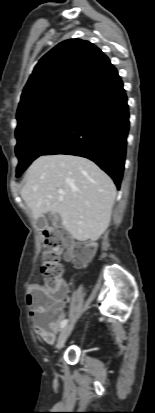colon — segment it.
I'll list each match as a JSON object with an SVG mask.
<instances>
[{
	"label": "colon",
	"instance_id": "colon-1",
	"mask_svg": "<svg viewBox=\"0 0 155 413\" xmlns=\"http://www.w3.org/2000/svg\"><path fill=\"white\" fill-rule=\"evenodd\" d=\"M44 245L47 249L41 262V273L44 285L50 292L49 295L40 293L35 299V308L39 313L41 325H44L54 313L53 300L58 299L64 292L62 267L60 257L62 250L68 248L78 265H85L93 251L90 245L85 243L75 244L70 238L61 234L54 227H47L43 231Z\"/></svg>",
	"mask_w": 155,
	"mask_h": 413
}]
</instances>
